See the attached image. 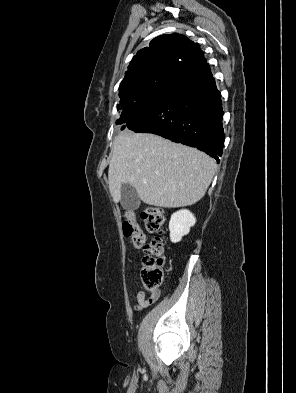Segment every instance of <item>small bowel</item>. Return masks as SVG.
<instances>
[{
  "mask_svg": "<svg viewBox=\"0 0 296 393\" xmlns=\"http://www.w3.org/2000/svg\"><path fill=\"white\" fill-rule=\"evenodd\" d=\"M159 297V292L156 293V295L154 296H146L144 291H139L137 293L136 299H137V303L135 305L136 309H144L148 306H150L151 304H153Z\"/></svg>",
  "mask_w": 296,
  "mask_h": 393,
  "instance_id": "obj_1",
  "label": "small bowel"
}]
</instances>
